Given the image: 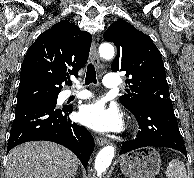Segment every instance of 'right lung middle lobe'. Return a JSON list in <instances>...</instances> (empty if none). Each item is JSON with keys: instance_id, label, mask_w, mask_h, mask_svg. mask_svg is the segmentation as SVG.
<instances>
[{"instance_id": "right-lung-middle-lobe-1", "label": "right lung middle lobe", "mask_w": 194, "mask_h": 178, "mask_svg": "<svg viewBox=\"0 0 194 178\" xmlns=\"http://www.w3.org/2000/svg\"><path fill=\"white\" fill-rule=\"evenodd\" d=\"M33 102H44V103L56 104L57 97L48 98V99H42V100H37V101H33Z\"/></svg>"}]
</instances>
